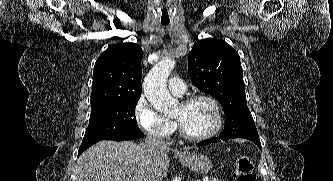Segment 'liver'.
Returning a JSON list of instances; mask_svg holds the SVG:
<instances>
[{
    "label": "liver",
    "mask_w": 333,
    "mask_h": 181,
    "mask_svg": "<svg viewBox=\"0 0 333 181\" xmlns=\"http://www.w3.org/2000/svg\"><path fill=\"white\" fill-rule=\"evenodd\" d=\"M169 148L153 155L145 144L103 140L78 160L80 181H150L156 172L166 177Z\"/></svg>",
    "instance_id": "liver-1"
}]
</instances>
